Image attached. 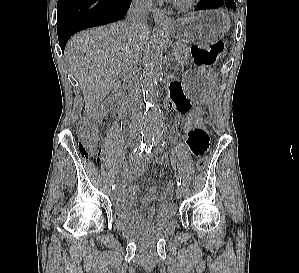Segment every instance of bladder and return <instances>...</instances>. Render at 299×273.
Instances as JSON below:
<instances>
[{
    "instance_id": "obj_1",
    "label": "bladder",
    "mask_w": 299,
    "mask_h": 273,
    "mask_svg": "<svg viewBox=\"0 0 299 273\" xmlns=\"http://www.w3.org/2000/svg\"><path fill=\"white\" fill-rule=\"evenodd\" d=\"M115 224L136 232H156L164 229L173 223L174 216L169 214L167 216H158L153 221H143L131 215L123 214L118 209H114Z\"/></svg>"
}]
</instances>
